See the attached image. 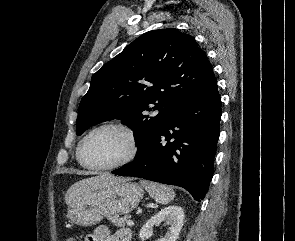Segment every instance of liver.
Returning <instances> with one entry per match:
<instances>
[{"mask_svg":"<svg viewBox=\"0 0 295 241\" xmlns=\"http://www.w3.org/2000/svg\"><path fill=\"white\" fill-rule=\"evenodd\" d=\"M122 178L115 177L108 173H103L97 176L82 179L74 183L65 194V203L69 205L72 200L85 192L96 189L104 184L113 183L121 180Z\"/></svg>","mask_w":295,"mask_h":241,"instance_id":"liver-1","label":"liver"}]
</instances>
